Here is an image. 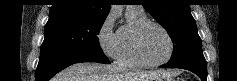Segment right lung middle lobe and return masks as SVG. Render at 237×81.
Wrapping results in <instances>:
<instances>
[{
    "mask_svg": "<svg viewBox=\"0 0 237 81\" xmlns=\"http://www.w3.org/2000/svg\"><path fill=\"white\" fill-rule=\"evenodd\" d=\"M105 19L62 16L49 19L45 26L43 52L95 53L104 55L97 35Z\"/></svg>",
    "mask_w": 237,
    "mask_h": 81,
    "instance_id": "obj_1",
    "label": "right lung middle lobe"
}]
</instances>
